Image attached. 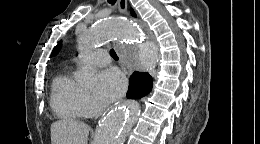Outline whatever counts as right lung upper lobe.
I'll list each match as a JSON object with an SVG mask.
<instances>
[{"label":"right lung upper lobe","mask_w":260,"mask_h":144,"mask_svg":"<svg viewBox=\"0 0 260 144\" xmlns=\"http://www.w3.org/2000/svg\"><path fill=\"white\" fill-rule=\"evenodd\" d=\"M132 16H136L135 12L131 9Z\"/></svg>","instance_id":"cb5924a9"}]
</instances>
